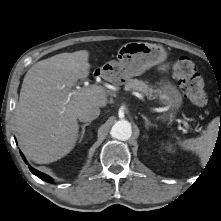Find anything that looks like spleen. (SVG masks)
I'll return each mask as SVG.
<instances>
[{"label": "spleen", "instance_id": "1", "mask_svg": "<svg viewBox=\"0 0 221 221\" xmlns=\"http://www.w3.org/2000/svg\"><path fill=\"white\" fill-rule=\"evenodd\" d=\"M218 130L219 121L217 118H215L211 121V123H209L206 133L198 138L188 139L182 142L181 146L184 149L196 152L201 159V163L204 165L212 153Z\"/></svg>", "mask_w": 221, "mask_h": 221}]
</instances>
